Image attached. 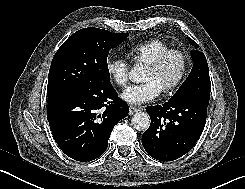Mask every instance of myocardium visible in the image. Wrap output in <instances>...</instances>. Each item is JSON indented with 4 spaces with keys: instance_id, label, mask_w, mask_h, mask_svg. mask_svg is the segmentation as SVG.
Segmentation results:
<instances>
[{
    "instance_id": "obj_1",
    "label": "myocardium",
    "mask_w": 245,
    "mask_h": 189,
    "mask_svg": "<svg viewBox=\"0 0 245 189\" xmlns=\"http://www.w3.org/2000/svg\"><path fill=\"white\" fill-rule=\"evenodd\" d=\"M171 57L179 58L182 64V68H181V71L178 77L172 83H170L169 85H167L166 87L162 89L164 93H169V92H173L177 90L181 86L183 81L185 80L188 74V68H189V60H188L187 55L180 50L169 49L161 53L155 59H153L152 61L146 64V66L149 69L153 71H157L161 69L164 66V64L167 62V60L170 59Z\"/></svg>"
}]
</instances>
